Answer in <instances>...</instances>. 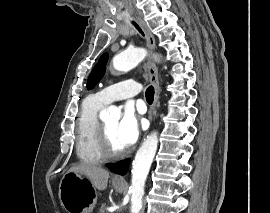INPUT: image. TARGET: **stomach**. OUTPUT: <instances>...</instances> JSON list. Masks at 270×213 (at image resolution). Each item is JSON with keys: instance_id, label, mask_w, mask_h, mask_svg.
I'll return each mask as SVG.
<instances>
[{"instance_id": "1", "label": "stomach", "mask_w": 270, "mask_h": 213, "mask_svg": "<svg viewBox=\"0 0 270 213\" xmlns=\"http://www.w3.org/2000/svg\"><path fill=\"white\" fill-rule=\"evenodd\" d=\"M113 187L119 192L124 190V185L113 183ZM59 199L67 213H92L97 195L81 174L68 171L60 180Z\"/></svg>"}]
</instances>
